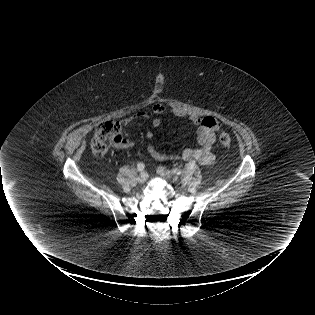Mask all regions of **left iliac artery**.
Masks as SVG:
<instances>
[{
  "label": "left iliac artery",
  "instance_id": "obj_1",
  "mask_svg": "<svg viewBox=\"0 0 315 315\" xmlns=\"http://www.w3.org/2000/svg\"><path fill=\"white\" fill-rule=\"evenodd\" d=\"M194 166H195V163H194V162H190V163L186 166V168H187V169H190V168H193ZM173 172L179 175V174L182 173V170H181V169H174Z\"/></svg>",
  "mask_w": 315,
  "mask_h": 315
}]
</instances>
